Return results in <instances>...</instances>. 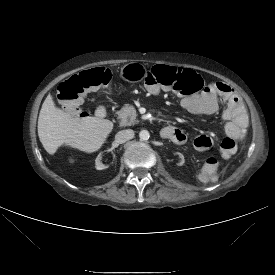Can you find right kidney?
I'll return each mask as SVG.
<instances>
[{
  "label": "right kidney",
  "mask_w": 275,
  "mask_h": 275,
  "mask_svg": "<svg viewBox=\"0 0 275 275\" xmlns=\"http://www.w3.org/2000/svg\"><path fill=\"white\" fill-rule=\"evenodd\" d=\"M115 160V157L112 153L108 151H104L98 154L96 160H95V167L97 170H103L105 168H108L111 163H113Z\"/></svg>",
  "instance_id": "ca27d5eb"
}]
</instances>
